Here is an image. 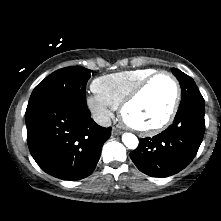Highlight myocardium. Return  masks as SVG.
<instances>
[{"instance_id":"1","label":"myocardium","mask_w":221,"mask_h":221,"mask_svg":"<svg viewBox=\"0 0 221 221\" xmlns=\"http://www.w3.org/2000/svg\"><path fill=\"white\" fill-rule=\"evenodd\" d=\"M162 75L169 77L175 88V96L170 111L160 123L152 127L140 128L132 125L126 119L125 116L126 109L142 94V92L154 79ZM180 101H181V87L175 75L166 70L155 71L154 73L143 79L138 85H136L132 89V91L123 99L119 107L120 116L124 125L129 129L135 131L141 136H153L165 130L173 122L177 114V111L179 109Z\"/></svg>"}]
</instances>
